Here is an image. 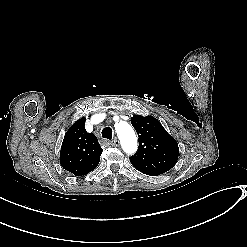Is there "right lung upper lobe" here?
I'll return each instance as SVG.
<instances>
[{
    "mask_svg": "<svg viewBox=\"0 0 247 247\" xmlns=\"http://www.w3.org/2000/svg\"><path fill=\"white\" fill-rule=\"evenodd\" d=\"M85 121V118H81L70 127L60 151L61 166L75 176H83L94 170L103 151L97 138L86 132Z\"/></svg>",
    "mask_w": 247,
    "mask_h": 247,
    "instance_id": "right-lung-upper-lobe-1",
    "label": "right lung upper lobe"
}]
</instances>
